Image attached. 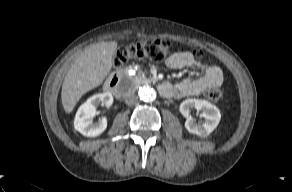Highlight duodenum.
Wrapping results in <instances>:
<instances>
[{"mask_svg":"<svg viewBox=\"0 0 292 192\" xmlns=\"http://www.w3.org/2000/svg\"><path fill=\"white\" fill-rule=\"evenodd\" d=\"M170 84L169 83H161L159 84V92L161 95L165 96L170 92ZM106 90L116 97H121L123 94L122 90V82L121 76L119 74H115L106 83Z\"/></svg>","mask_w":292,"mask_h":192,"instance_id":"duodenum-1","label":"duodenum"}]
</instances>
